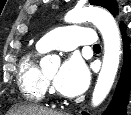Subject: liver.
Instances as JSON below:
<instances>
[{
	"instance_id": "6515ba94",
	"label": "liver",
	"mask_w": 131,
	"mask_h": 115,
	"mask_svg": "<svg viewBox=\"0 0 131 115\" xmlns=\"http://www.w3.org/2000/svg\"><path fill=\"white\" fill-rule=\"evenodd\" d=\"M11 115H61L59 112L33 105H17L10 112Z\"/></svg>"
}]
</instances>
